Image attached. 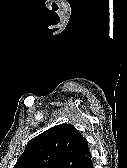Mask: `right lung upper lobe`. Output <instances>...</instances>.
I'll return each mask as SVG.
<instances>
[{"label": "right lung upper lobe", "instance_id": "1", "mask_svg": "<svg viewBox=\"0 0 127 168\" xmlns=\"http://www.w3.org/2000/svg\"><path fill=\"white\" fill-rule=\"evenodd\" d=\"M90 158L86 139L71 124H62L32 139L14 168H76Z\"/></svg>", "mask_w": 127, "mask_h": 168}]
</instances>
